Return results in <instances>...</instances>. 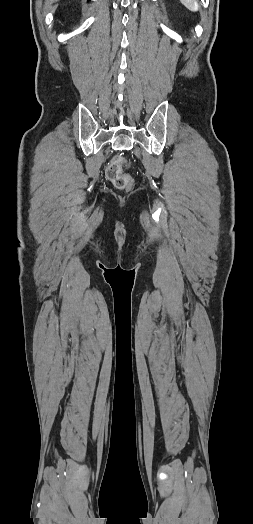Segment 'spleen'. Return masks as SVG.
<instances>
[{"instance_id": "obj_1", "label": "spleen", "mask_w": 253, "mask_h": 524, "mask_svg": "<svg viewBox=\"0 0 253 524\" xmlns=\"http://www.w3.org/2000/svg\"><path fill=\"white\" fill-rule=\"evenodd\" d=\"M180 2L191 11L198 10V4L195 0H180Z\"/></svg>"}]
</instances>
